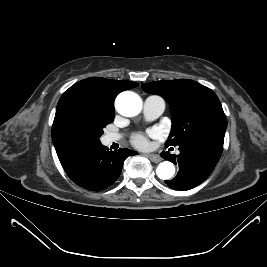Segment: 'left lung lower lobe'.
I'll list each match as a JSON object with an SVG mask.
<instances>
[{
    "label": "left lung lower lobe",
    "mask_w": 267,
    "mask_h": 267,
    "mask_svg": "<svg viewBox=\"0 0 267 267\" xmlns=\"http://www.w3.org/2000/svg\"><path fill=\"white\" fill-rule=\"evenodd\" d=\"M180 154L169 152L160 155L166 160L179 164V172L165 183L175 190H189L202 183L215 168L223 151V145L211 142H196L179 146Z\"/></svg>",
    "instance_id": "1"
}]
</instances>
